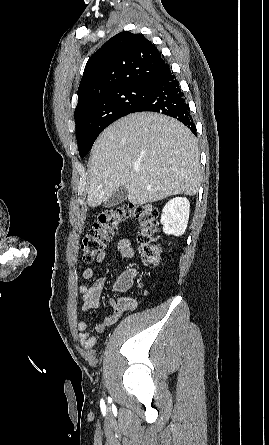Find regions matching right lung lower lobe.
<instances>
[{
	"label": "right lung lower lobe",
	"instance_id": "obj_1",
	"mask_svg": "<svg viewBox=\"0 0 269 445\" xmlns=\"http://www.w3.org/2000/svg\"><path fill=\"white\" fill-rule=\"evenodd\" d=\"M142 111L158 112L176 118L196 135L195 124L190 116L184 93L169 66L149 84L148 94L132 113Z\"/></svg>",
	"mask_w": 269,
	"mask_h": 445
}]
</instances>
